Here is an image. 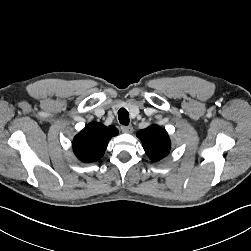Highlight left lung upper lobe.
I'll return each instance as SVG.
<instances>
[{
	"label": "left lung upper lobe",
	"instance_id": "left-lung-upper-lobe-1",
	"mask_svg": "<svg viewBox=\"0 0 251 251\" xmlns=\"http://www.w3.org/2000/svg\"><path fill=\"white\" fill-rule=\"evenodd\" d=\"M137 137L142 141L143 148L152 161H159L168 155L171 142L167 132L160 126L151 125L140 130Z\"/></svg>",
	"mask_w": 251,
	"mask_h": 251
}]
</instances>
